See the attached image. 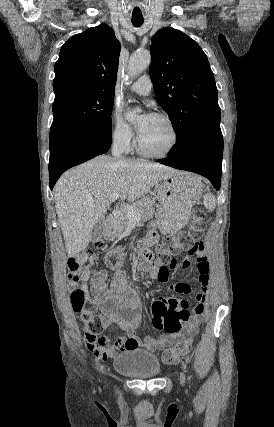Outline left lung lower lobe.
Instances as JSON below:
<instances>
[{
	"label": "left lung lower lobe",
	"mask_w": 274,
	"mask_h": 427,
	"mask_svg": "<svg viewBox=\"0 0 274 427\" xmlns=\"http://www.w3.org/2000/svg\"><path fill=\"white\" fill-rule=\"evenodd\" d=\"M223 156V137L220 131H205L179 150H171L161 164L177 169L198 173L208 178L219 190L221 185V166Z\"/></svg>",
	"instance_id": "0a47b994"
}]
</instances>
